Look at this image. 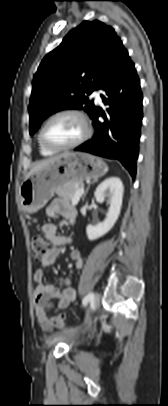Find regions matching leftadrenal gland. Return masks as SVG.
I'll list each match as a JSON object with an SVG mask.
<instances>
[{
  "label": "left adrenal gland",
  "mask_w": 168,
  "mask_h": 406,
  "mask_svg": "<svg viewBox=\"0 0 168 406\" xmlns=\"http://www.w3.org/2000/svg\"><path fill=\"white\" fill-rule=\"evenodd\" d=\"M94 182H95V181H93L91 184H93ZM89 188H90V184H89L88 187L86 188V191H85V193H84L83 200H84V198H85V196H86V194H87Z\"/></svg>",
  "instance_id": "a2214340"
}]
</instances>
